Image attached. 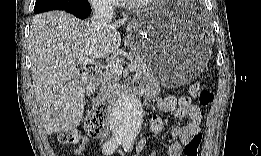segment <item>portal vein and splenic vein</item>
Here are the masks:
<instances>
[{
  "instance_id": "obj_1",
  "label": "portal vein and splenic vein",
  "mask_w": 261,
  "mask_h": 156,
  "mask_svg": "<svg viewBox=\"0 0 261 156\" xmlns=\"http://www.w3.org/2000/svg\"><path fill=\"white\" fill-rule=\"evenodd\" d=\"M77 63L87 65L95 64L97 63V61L90 57H84L80 58ZM127 67L130 71H136L137 69V66L134 64H129ZM107 69L110 70L112 73L120 75L122 74L124 68L120 63H109L107 64Z\"/></svg>"
}]
</instances>
